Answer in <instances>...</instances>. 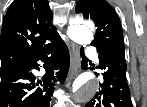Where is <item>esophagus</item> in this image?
Returning <instances> with one entry per match:
<instances>
[{
    "instance_id": "obj_1",
    "label": "esophagus",
    "mask_w": 147,
    "mask_h": 107,
    "mask_svg": "<svg viewBox=\"0 0 147 107\" xmlns=\"http://www.w3.org/2000/svg\"><path fill=\"white\" fill-rule=\"evenodd\" d=\"M80 69V55L78 46L74 43L70 44V70L68 78L71 79L76 76Z\"/></svg>"
}]
</instances>
